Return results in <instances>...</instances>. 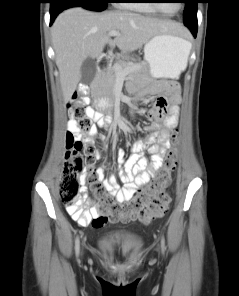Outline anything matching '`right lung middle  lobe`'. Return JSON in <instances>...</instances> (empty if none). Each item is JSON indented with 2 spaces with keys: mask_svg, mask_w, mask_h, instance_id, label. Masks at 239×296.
I'll return each instance as SVG.
<instances>
[{
  "mask_svg": "<svg viewBox=\"0 0 239 296\" xmlns=\"http://www.w3.org/2000/svg\"><path fill=\"white\" fill-rule=\"evenodd\" d=\"M56 0H50V4L54 3ZM63 5L65 6L64 9L70 7H83L88 10L93 11H103L110 0H61ZM51 6V5H50Z\"/></svg>",
  "mask_w": 239,
  "mask_h": 296,
  "instance_id": "dd1d6c3e",
  "label": "right lung middle lobe"
}]
</instances>
